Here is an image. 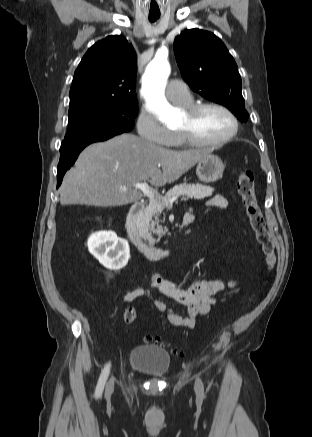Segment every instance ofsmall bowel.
<instances>
[{
  "label": "small bowel",
  "mask_w": 312,
  "mask_h": 437,
  "mask_svg": "<svg viewBox=\"0 0 312 437\" xmlns=\"http://www.w3.org/2000/svg\"><path fill=\"white\" fill-rule=\"evenodd\" d=\"M208 206L226 208L227 200L216 195L208 202ZM194 220V215L186 214ZM185 215V216H186ZM184 216V217H185ZM234 286L233 281L224 282L219 279H203L184 287L167 280L160 274H152L146 286L137 287L124 295V302L130 303L140 297H152L154 292L161 296L170 298L186 307V314L180 313L171 307L161 297H153V306L160 312H165L170 324L182 328H194L196 320L200 316L207 315L215 303V295L225 287Z\"/></svg>",
  "instance_id": "c3829d8e"
}]
</instances>
